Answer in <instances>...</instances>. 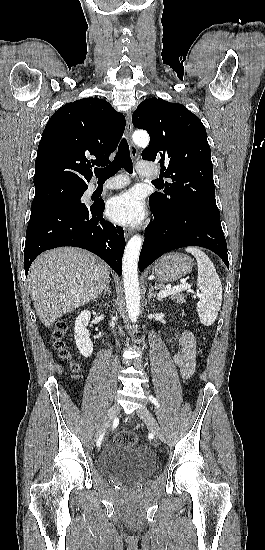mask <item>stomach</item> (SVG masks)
<instances>
[{"label": "stomach", "mask_w": 265, "mask_h": 550, "mask_svg": "<svg viewBox=\"0 0 265 550\" xmlns=\"http://www.w3.org/2000/svg\"><path fill=\"white\" fill-rule=\"evenodd\" d=\"M193 260L179 253H169L161 257L153 266L152 274L162 282H171L190 273Z\"/></svg>", "instance_id": "1"}]
</instances>
